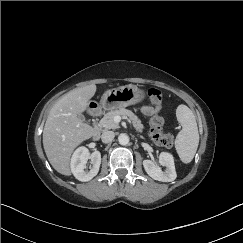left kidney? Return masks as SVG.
<instances>
[{"instance_id":"left-kidney-1","label":"left kidney","mask_w":243,"mask_h":243,"mask_svg":"<svg viewBox=\"0 0 243 243\" xmlns=\"http://www.w3.org/2000/svg\"><path fill=\"white\" fill-rule=\"evenodd\" d=\"M159 163L166 167L165 171H162L159 166H157L151 160H144L143 166L146 173L153 178L154 180L162 182H171L174 181L177 177L174 165V158L168 152H162L159 156Z\"/></svg>"}]
</instances>
